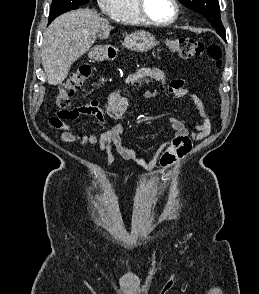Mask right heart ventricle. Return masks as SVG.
<instances>
[{
  "label": "right heart ventricle",
  "mask_w": 259,
  "mask_h": 294,
  "mask_svg": "<svg viewBox=\"0 0 259 294\" xmlns=\"http://www.w3.org/2000/svg\"><path fill=\"white\" fill-rule=\"evenodd\" d=\"M111 16L115 21L123 24L140 25L144 23L138 14L136 0H117Z\"/></svg>",
  "instance_id": "right-heart-ventricle-1"
}]
</instances>
